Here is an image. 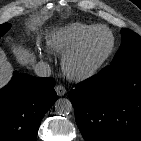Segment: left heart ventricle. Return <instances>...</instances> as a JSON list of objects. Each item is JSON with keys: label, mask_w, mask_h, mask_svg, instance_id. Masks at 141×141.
I'll use <instances>...</instances> for the list:
<instances>
[{"label": "left heart ventricle", "mask_w": 141, "mask_h": 141, "mask_svg": "<svg viewBox=\"0 0 141 141\" xmlns=\"http://www.w3.org/2000/svg\"><path fill=\"white\" fill-rule=\"evenodd\" d=\"M110 42V35L105 30H98L93 33L83 47L77 65L84 67L99 60L108 50Z\"/></svg>", "instance_id": "obj_1"}]
</instances>
